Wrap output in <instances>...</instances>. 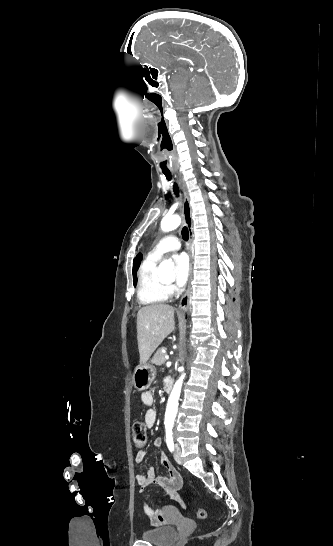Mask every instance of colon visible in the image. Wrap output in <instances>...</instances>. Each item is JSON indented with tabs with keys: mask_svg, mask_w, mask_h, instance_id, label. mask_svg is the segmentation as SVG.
<instances>
[{
	"mask_svg": "<svg viewBox=\"0 0 333 546\" xmlns=\"http://www.w3.org/2000/svg\"><path fill=\"white\" fill-rule=\"evenodd\" d=\"M132 439L136 448H143L146 445L148 434L147 428L143 423L137 422L133 425ZM196 515L199 519H205L207 517V512L205 509H199Z\"/></svg>",
	"mask_w": 333,
	"mask_h": 546,
	"instance_id": "5ec220e1",
	"label": "colon"
}]
</instances>
